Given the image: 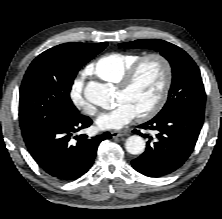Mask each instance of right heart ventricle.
<instances>
[{
	"label": "right heart ventricle",
	"instance_id": "right-heart-ventricle-1",
	"mask_svg": "<svg viewBox=\"0 0 222 219\" xmlns=\"http://www.w3.org/2000/svg\"><path fill=\"white\" fill-rule=\"evenodd\" d=\"M142 56V53L135 52L106 53L93 62L88 71L103 81L118 84L124 73Z\"/></svg>",
	"mask_w": 222,
	"mask_h": 219
}]
</instances>
